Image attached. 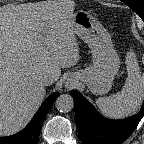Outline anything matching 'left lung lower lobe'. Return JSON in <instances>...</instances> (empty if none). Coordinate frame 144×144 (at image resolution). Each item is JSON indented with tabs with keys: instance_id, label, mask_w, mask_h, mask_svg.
<instances>
[{
	"instance_id": "0a47b994",
	"label": "left lung lower lobe",
	"mask_w": 144,
	"mask_h": 144,
	"mask_svg": "<svg viewBox=\"0 0 144 144\" xmlns=\"http://www.w3.org/2000/svg\"><path fill=\"white\" fill-rule=\"evenodd\" d=\"M71 94L79 137L83 144H122L144 116L143 103L137 115L123 120H109L101 116L81 93L72 90Z\"/></svg>"
}]
</instances>
